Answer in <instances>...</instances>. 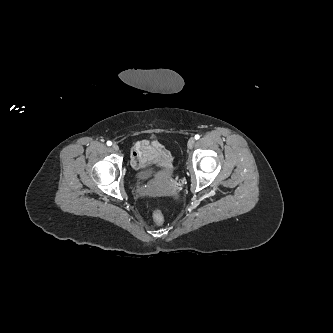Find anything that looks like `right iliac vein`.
<instances>
[{
	"mask_svg": "<svg viewBox=\"0 0 333 333\" xmlns=\"http://www.w3.org/2000/svg\"><path fill=\"white\" fill-rule=\"evenodd\" d=\"M112 149L114 150V151H118L119 150V147H118V145L117 144H113L112 145Z\"/></svg>",
	"mask_w": 333,
	"mask_h": 333,
	"instance_id": "63e3f726",
	"label": "right iliac vein"
}]
</instances>
